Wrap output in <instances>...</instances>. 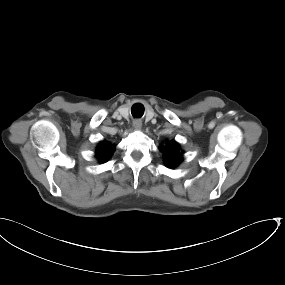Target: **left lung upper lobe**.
<instances>
[{
    "mask_svg": "<svg viewBox=\"0 0 285 285\" xmlns=\"http://www.w3.org/2000/svg\"><path fill=\"white\" fill-rule=\"evenodd\" d=\"M160 151L164 154V163L168 168L176 167L183 160V151L175 141L167 142L165 146L160 147Z\"/></svg>",
    "mask_w": 285,
    "mask_h": 285,
    "instance_id": "5c2ea615",
    "label": "left lung upper lobe"
}]
</instances>
